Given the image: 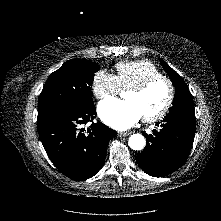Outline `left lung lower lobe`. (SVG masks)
Returning <instances> with one entry per match:
<instances>
[{"mask_svg":"<svg viewBox=\"0 0 221 221\" xmlns=\"http://www.w3.org/2000/svg\"><path fill=\"white\" fill-rule=\"evenodd\" d=\"M160 127L153 136L142 132L147 144L136 156L139 167L154 177L171 174L187 160L196 131L195 114H167Z\"/></svg>","mask_w":221,"mask_h":221,"instance_id":"left-lung-lower-lobe-1","label":"left lung lower lobe"}]
</instances>
